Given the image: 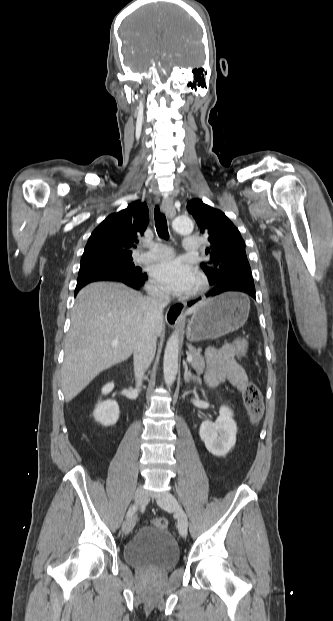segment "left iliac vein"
I'll list each match as a JSON object with an SVG mask.
<instances>
[{"label":"left iliac vein","instance_id":"obj_1","mask_svg":"<svg viewBox=\"0 0 333 621\" xmlns=\"http://www.w3.org/2000/svg\"><path fill=\"white\" fill-rule=\"evenodd\" d=\"M158 504L165 510L174 511L177 515V527L181 536L186 537L188 529V519L186 513L179 505L177 499L171 493H165L157 500Z\"/></svg>","mask_w":333,"mask_h":621}]
</instances>
